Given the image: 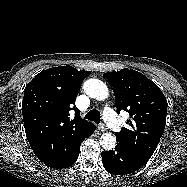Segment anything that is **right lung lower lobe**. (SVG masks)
<instances>
[{"label":"right lung lower lobe","instance_id":"98d812e1","mask_svg":"<svg viewBox=\"0 0 187 187\" xmlns=\"http://www.w3.org/2000/svg\"><path fill=\"white\" fill-rule=\"evenodd\" d=\"M93 132H94V130L91 131L90 133H88L87 135L80 137L77 141L72 143L71 151L69 152L68 157L57 162V163H54L53 165H49V167L56 168V169H62V168H67V167L73 165L78 158L81 143L83 142V140L86 137L92 135Z\"/></svg>","mask_w":187,"mask_h":187}]
</instances>
